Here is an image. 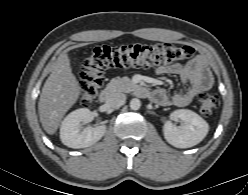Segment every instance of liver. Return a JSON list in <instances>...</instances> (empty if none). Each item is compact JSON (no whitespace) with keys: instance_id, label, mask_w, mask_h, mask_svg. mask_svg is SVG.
<instances>
[{"instance_id":"obj_1","label":"liver","mask_w":248,"mask_h":195,"mask_svg":"<svg viewBox=\"0 0 248 195\" xmlns=\"http://www.w3.org/2000/svg\"><path fill=\"white\" fill-rule=\"evenodd\" d=\"M80 90L69 57L62 52L52 65L38 103L40 122L48 134L53 135L57 131L66 112L79 99Z\"/></svg>"}]
</instances>
